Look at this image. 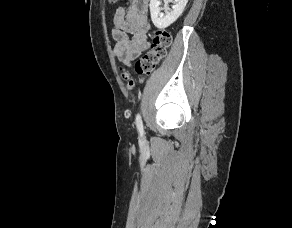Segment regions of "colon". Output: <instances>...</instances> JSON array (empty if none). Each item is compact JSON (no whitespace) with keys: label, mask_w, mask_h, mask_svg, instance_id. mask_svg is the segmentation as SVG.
I'll return each mask as SVG.
<instances>
[{"label":"colon","mask_w":292,"mask_h":228,"mask_svg":"<svg viewBox=\"0 0 292 228\" xmlns=\"http://www.w3.org/2000/svg\"><path fill=\"white\" fill-rule=\"evenodd\" d=\"M110 1L115 3L118 0ZM171 43L172 36L167 30L157 29L153 32L150 50L135 63V71L142 81L151 75L160 61L167 55ZM123 78L127 81L128 87H134L133 80L126 73H123Z\"/></svg>","instance_id":"obj_1"}]
</instances>
